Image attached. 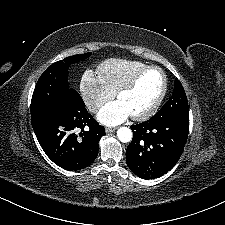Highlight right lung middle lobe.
<instances>
[{
  "mask_svg": "<svg viewBox=\"0 0 225 225\" xmlns=\"http://www.w3.org/2000/svg\"><path fill=\"white\" fill-rule=\"evenodd\" d=\"M92 53L74 55L50 65L40 76L31 100V114H35L67 97H79V94L69 88V65L87 59Z\"/></svg>",
  "mask_w": 225,
  "mask_h": 225,
  "instance_id": "1",
  "label": "right lung middle lobe"
}]
</instances>
